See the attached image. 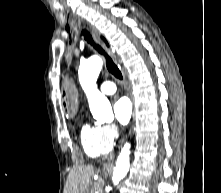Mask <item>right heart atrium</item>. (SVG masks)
<instances>
[{"label":"right heart atrium","mask_w":221,"mask_h":193,"mask_svg":"<svg viewBox=\"0 0 221 193\" xmlns=\"http://www.w3.org/2000/svg\"><path fill=\"white\" fill-rule=\"evenodd\" d=\"M103 136L108 142H114L119 136L118 127L115 124H105L102 126Z\"/></svg>","instance_id":"1"}]
</instances>
